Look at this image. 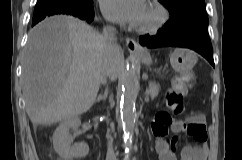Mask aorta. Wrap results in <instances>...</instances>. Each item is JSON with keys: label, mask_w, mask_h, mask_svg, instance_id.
Wrapping results in <instances>:
<instances>
[{"label": "aorta", "mask_w": 242, "mask_h": 160, "mask_svg": "<svg viewBox=\"0 0 242 160\" xmlns=\"http://www.w3.org/2000/svg\"><path fill=\"white\" fill-rule=\"evenodd\" d=\"M121 118L125 140L131 138L135 126V101L138 95V76L135 70L128 69L122 79Z\"/></svg>", "instance_id": "obj_1"}]
</instances>
